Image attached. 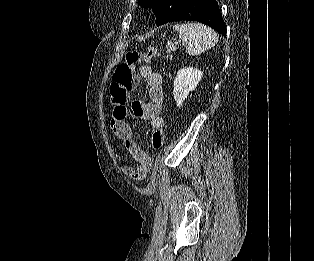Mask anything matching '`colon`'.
I'll list each match as a JSON object with an SVG mask.
<instances>
[{
	"label": "colon",
	"instance_id": "1",
	"mask_svg": "<svg viewBox=\"0 0 314 261\" xmlns=\"http://www.w3.org/2000/svg\"><path fill=\"white\" fill-rule=\"evenodd\" d=\"M157 56V48L149 47L144 51L130 50L127 52L125 61L120 63L113 75L110 85L111 103L113 105H124L131 90L136 85L135 67L141 62H149ZM165 133L163 127L154 130L151 143L154 149L158 150L164 143Z\"/></svg>",
	"mask_w": 314,
	"mask_h": 261
}]
</instances>
